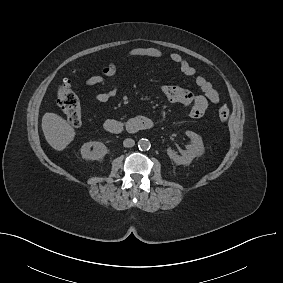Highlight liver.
Returning <instances> with one entry per match:
<instances>
[{
  "label": "liver",
  "mask_w": 283,
  "mask_h": 283,
  "mask_svg": "<svg viewBox=\"0 0 283 283\" xmlns=\"http://www.w3.org/2000/svg\"><path fill=\"white\" fill-rule=\"evenodd\" d=\"M42 130L48 144L57 151L64 150L76 135L74 128L64 118L50 112L42 117Z\"/></svg>",
  "instance_id": "1"
}]
</instances>
